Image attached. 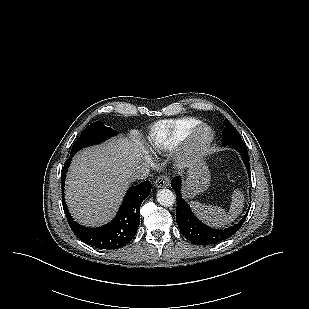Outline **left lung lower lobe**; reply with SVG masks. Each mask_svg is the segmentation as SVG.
<instances>
[{"label": "left lung lower lobe", "instance_id": "1", "mask_svg": "<svg viewBox=\"0 0 309 309\" xmlns=\"http://www.w3.org/2000/svg\"><path fill=\"white\" fill-rule=\"evenodd\" d=\"M225 146V145H223ZM243 158L244 164L251 178L250 164L248 159V151L246 145L242 143L231 144ZM171 186L176 192L177 209H176V221L181 233L191 242L197 245H211L222 242L227 238L235 234L242 226L245 217L236 225L226 228L224 230H216L209 228L192 213L189 205L185 202L181 196V178L175 177L171 181ZM250 208V207H249Z\"/></svg>", "mask_w": 309, "mask_h": 309}]
</instances>
